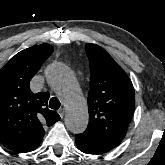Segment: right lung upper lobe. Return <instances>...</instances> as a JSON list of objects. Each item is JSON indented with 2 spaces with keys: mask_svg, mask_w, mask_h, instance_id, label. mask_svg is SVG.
<instances>
[{
  "mask_svg": "<svg viewBox=\"0 0 165 165\" xmlns=\"http://www.w3.org/2000/svg\"><path fill=\"white\" fill-rule=\"evenodd\" d=\"M48 44L35 45L17 53L0 70V142L17 153L28 152L60 116L46 105L49 93H32L30 80L52 54Z\"/></svg>",
  "mask_w": 165,
  "mask_h": 165,
  "instance_id": "obj_1",
  "label": "right lung upper lobe"
}]
</instances>
